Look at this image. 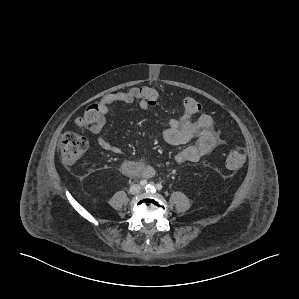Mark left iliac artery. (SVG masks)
<instances>
[{
    "instance_id": "obj_1",
    "label": "left iliac artery",
    "mask_w": 299,
    "mask_h": 299,
    "mask_svg": "<svg viewBox=\"0 0 299 299\" xmlns=\"http://www.w3.org/2000/svg\"><path fill=\"white\" fill-rule=\"evenodd\" d=\"M156 188L158 189V190H161L162 188H163V186L161 185V184H156ZM146 191L147 192H152V186L149 184V185H147L146 186Z\"/></svg>"
}]
</instances>
